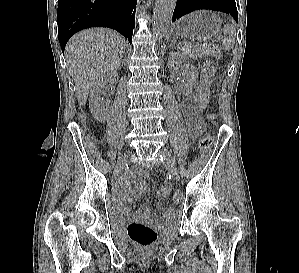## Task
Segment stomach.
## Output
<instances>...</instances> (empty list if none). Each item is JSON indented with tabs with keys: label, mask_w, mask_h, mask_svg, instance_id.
<instances>
[{
	"label": "stomach",
	"mask_w": 299,
	"mask_h": 273,
	"mask_svg": "<svg viewBox=\"0 0 299 273\" xmlns=\"http://www.w3.org/2000/svg\"><path fill=\"white\" fill-rule=\"evenodd\" d=\"M221 21L212 20L205 12L198 11L177 22L175 31L185 39L203 40L214 36L220 29Z\"/></svg>",
	"instance_id": "0dacf381"
}]
</instances>
